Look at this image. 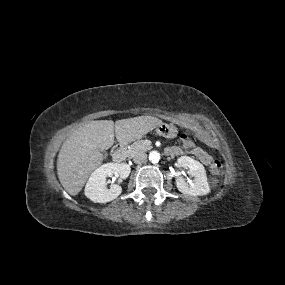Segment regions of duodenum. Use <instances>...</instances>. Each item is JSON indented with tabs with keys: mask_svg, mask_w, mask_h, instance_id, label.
Masks as SVG:
<instances>
[{
	"mask_svg": "<svg viewBox=\"0 0 285 285\" xmlns=\"http://www.w3.org/2000/svg\"><path fill=\"white\" fill-rule=\"evenodd\" d=\"M112 157L115 162H121L125 159L126 147L123 143H119L113 148Z\"/></svg>",
	"mask_w": 285,
	"mask_h": 285,
	"instance_id": "duodenum-1",
	"label": "duodenum"
}]
</instances>
